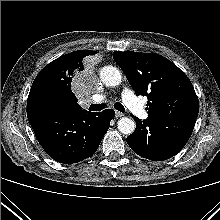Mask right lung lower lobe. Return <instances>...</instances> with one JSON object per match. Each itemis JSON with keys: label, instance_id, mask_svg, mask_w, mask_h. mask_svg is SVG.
Here are the masks:
<instances>
[{"label": "right lung lower lobe", "instance_id": "obj_1", "mask_svg": "<svg viewBox=\"0 0 220 220\" xmlns=\"http://www.w3.org/2000/svg\"><path fill=\"white\" fill-rule=\"evenodd\" d=\"M115 112L73 111L44 104L27 105V117L47 154L60 163H77L93 155Z\"/></svg>", "mask_w": 220, "mask_h": 220}]
</instances>
